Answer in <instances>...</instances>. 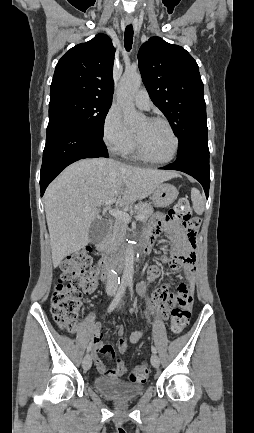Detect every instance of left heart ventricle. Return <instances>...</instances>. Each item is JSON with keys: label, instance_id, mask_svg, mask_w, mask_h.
I'll use <instances>...</instances> for the list:
<instances>
[{"label": "left heart ventricle", "instance_id": "1", "mask_svg": "<svg viewBox=\"0 0 254 433\" xmlns=\"http://www.w3.org/2000/svg\"><path fill=\"white\" fill-rule=\"evenodd\" d=\"M134 132L143 149L152 159L163 160L172 154L174 140L164 125L144 119L137 125Z\"/></svg>", "mask_w": 254, "mask_h": 433}]
</instances>
